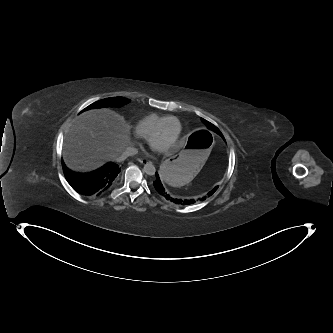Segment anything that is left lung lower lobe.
<instances>
[{"instance_id": "0a47b994", "label": "left lung lower lobe", "mask_w": 333, "mask_h": 333, "mask_svg": "<svg viewBox=\"0 0 333 333\" xmlns=\"http://www.w3.org/2000/svg\"><path fill=\"white\" fill-rule=\"evenodd\" d=\"M221 137L222 134H220ZM156 179L155 181L153 182V185H154V188L155 190L158 192L159 195L165 197L167 200H170L171 202H174L176 204H184V205H189V204H193L195 202V200H182V199H177L175 197H173L170 193H168L164 186L162 185L161 181H160V178H159V175L158 173L156 172ZM216 188L213 189L211 192H209V194H213L215 192ZM205 198L203 197L201 200H204Z\"/></svg>"}]
</instances>
